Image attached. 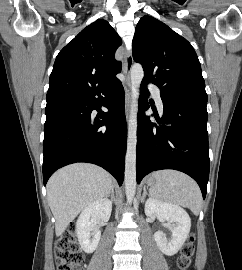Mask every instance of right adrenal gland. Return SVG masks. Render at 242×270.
Segmentation results:
<instances>
[{
	"label": "right adrenal gland",
	"instance_id": "2a0ac1e0",
	"mask_svg": "<svg viewBox=\"0 0 242 270\" xmlns=\"http://www.w3.org/2000/svg\"><path fill=\"white\" fill-rule=\"evenodd\" d=\"M107 197H111V202L115 201V196H114V189L112 188L110 193L107 195Z\"/></svg>",
	"mask_w": 242,
	"mask_h": 270
}]
</instances>
